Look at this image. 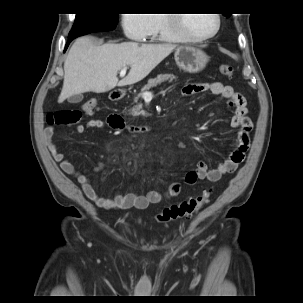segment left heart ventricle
<instances>
[{"mask_svg": "<svg viewBox=\"0 0 303 303\" xmlns=\"http://www.w3.org/2000/svg\"><path fill=\"white\" fill-rule=\"evenodd\" d=\"M185 28L193 35H204L215 27V19L212 14H186Z\"/></svg>", "mask_w": 303, "mask_h": 303, "instance_id": "obj_1", "label": "left heart ventricle"}]
</instances>
